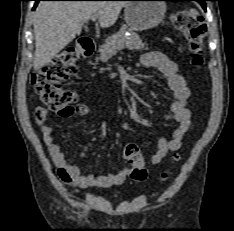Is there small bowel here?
Wrapping results in <instances>:
<instances>
[{
  "instance_id": "1",
  "label": "small bowel",
  "mask_w": 234,
  "mask_h": 231,
  "mask_svg": "<svg viewBox=\"0 0 234 231\" xmlns=\"http://www.w3.org/2000/svg\"><path fill=\"white\" fill-rule=\"evenodd\" d=\"M141 62L146 67L156 68L165 76L174 96V101L170 105L166 118L175 120L179 124L174 130L171 139L160 137L157 140V149L151 157V163L159 164L169 153H175L181 149L183 138L194 127L192 113L188 108L190 90L185 79L177 73L176 63L165 54L149 52L142 56ZM49 113L48 108L37 107L35 110V123L41 131L48 152L57 168L59 179L63 184L78 189L89 187L111 188L119 187L126 181L130 173L128 167H121L109 174H94L85 173L77 164L68 162L65 152L54 139L53 128L48 120ZM89 113L90 108L86 104H77L70 109L60 111L59 115L62 117L87 116ZM91 148V143L84 144L79 157H85Z\"/></svg>"
}]
</instances>
